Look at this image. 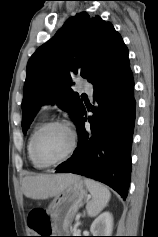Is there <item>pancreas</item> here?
<instances>
[{
	"instance_id": "cf45deb5",
	"label": "pancreas",
	"mask_w": 158,
	"mask_h": 237,
	"mask_svg": "<svg viewBox=\"0 0 158 237\" xmlns=\"http://www.w3.org/2000/svg\"><path fill=\"white\" fill-rule=\"evenodd\" d=\"M71 232L73 233V235H77V233H79V231L75 229L71 230Z\"/></svg>"
}]
</instances>
